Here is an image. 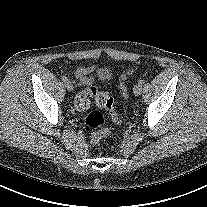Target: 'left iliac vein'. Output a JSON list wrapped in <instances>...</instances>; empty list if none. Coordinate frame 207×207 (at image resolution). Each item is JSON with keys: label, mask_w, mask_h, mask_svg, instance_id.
I'll return each mask as SVG.
<instances>
[{"label": "left iliac vein", "mask_w": 207, "mask_h": 207, "mask_svg": "<svg viewBox=\"0 0 207 207\" xmlns=\"http://www.w3.org/2000/svg\"><path fill=\"white\" fill-rule=\"evenodd\" d=\"M133 92L136 96H139L142 92V85L141 84H136L133 88Z\"/></svg>", "instance_id": "obj_1"}]
</instances>
